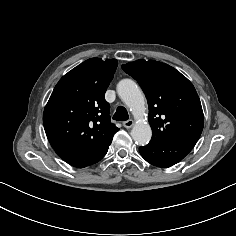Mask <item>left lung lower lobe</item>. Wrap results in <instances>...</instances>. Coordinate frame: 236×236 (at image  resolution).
I'll return each instance as SVG.
<instances>
[{
  "label": "left lung lower lobe",
  "instance_id": "obj_1",
  "mask_svg": "<svg viewBox=\"0 0 236 236\" xmlns=\"http://www.w3.org/2000/svg\"><path fill=\"white\" fill-rule=\"evenodd\" d=\"M194 146L191 142H149L139 147V151L150 164L167 168L181 161Z\"/></svg>",
  "mask_w": 236,
  "mask_h": 236
}]
</instances>
